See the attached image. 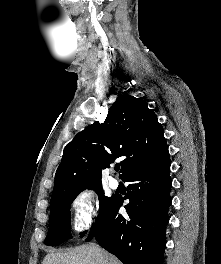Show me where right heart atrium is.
<instances>
[{
  "label": "right heart atrium",
  "mask_w": 221,
  "mask_h": 264,
  "mask_svg": "<svg viewBox=\"0 0 221 264\" xmlns=\"http://www.w3.org/2000/svg\"><path fill=\"white\" fill-rule=\"evenodd\" d=\"M101 214L100 199L90 190L80 191L71 202L72 228L82 234L89 230Z\"/></svg>",
  "instance_id": "d8ad5b80"
}]
</instances>
